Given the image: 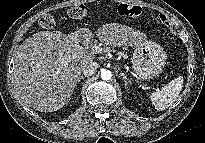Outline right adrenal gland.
Here are the masks:
<instances>
[{
    "label": "right adrenal gland",
    "instance_id": "obj_1",
    "mask_svg": "<svg viewBox=\"0 0 205 143\" xmlns=\"http://www.w3.org/2000/svg\"><path fill=\"white\" fill-rule=\"evenodd\" d=\"M81 80H84V77H83V76H81V77L78 78L77 82L75 83V86H77V84H78ZM74 88H75V87H74ZM74 88H73V89H74Z\"/></svg>",
    "mask_w": 205,
    "mask_h": 143
}]
</instances>
